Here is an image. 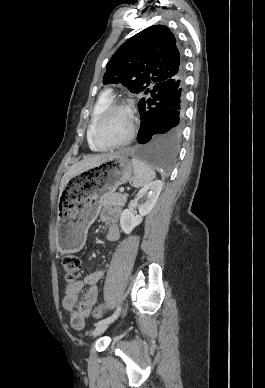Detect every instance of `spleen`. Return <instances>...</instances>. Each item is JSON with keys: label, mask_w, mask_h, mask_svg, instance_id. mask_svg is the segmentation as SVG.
Instances as JSON below:
<instances>
[{"label": "spleen", "mask_w": 265, "mask_h": 388, "mask_svg": "<svg viewBox=\"0 0 265 388\" xmlns=\"http://www.w3.org/2000/svg\"><path fill=\"white\" fill-rule=\"evenodd\" d=\"M133 166V184L134 188H141V186H146L149 182H152L156 178L154 170H151L150 166L142 160H136L132 158L131 160Z\"/></svg>", "instance_id": "3e777b00"}]
</instances>
